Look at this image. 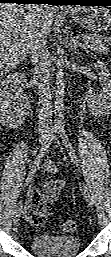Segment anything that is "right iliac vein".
Returning <instances> with one entry per match:
<instances>
[{"mask_svg": "<svg viewBox=\"0 0 111 257\" xmlns=\"http://www.w3.org/2000/svg\"><path fill=\"white\" fill-rule=\"evenodd\" d=\"M47 138H48V137H47L46 134H43V135L40 137V144H41V146H44V144H45ZM22 209H23L22 205H17L16 208H15V211H14V218H13V221H14L15 224L19 221V219H20V217H21V214H22V212H23Z\"/></svg>", "mask_w": 111, "mask_h": 257, "instance_id": "obj_1", "label": "right iliac vein"}]
</instances>
